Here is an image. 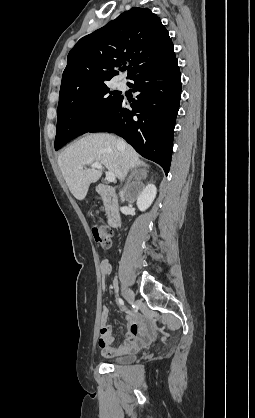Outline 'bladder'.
Instances as JSON below:
<instances>
[{"mask_svg": "<svg viewBox=\"0 0 255 418\" xmlns=\"http://www.w3.org/2000/svg\"><path fill=\"white\" fill-rule=\"evenodd\" d=\"M134 359H135L134 355H123V356L109 358L107 359V361L113 364H127V363L132 362Z\"/></svg>", "mask_w": 255, "mask_h": 418, "instance_id": "bladder-1", "label": "bladder"}]
</instances>
